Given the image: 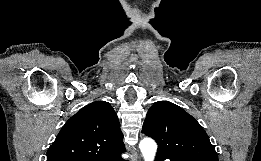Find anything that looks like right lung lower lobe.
<instances>
[{
    "instance_id": "right-lung-lower-lobe-1",
    "label": "right lung lower lobe",
    "mask_w": 261,
    "mask_h": 161,
    "mask_svg": "<svg viewBox=\"0 0 261 161\" xmlns=\"http://www.w3.org/2000/svg\"><path fill=\"white\" fill-rule=\"evenodd\" d=\"M123 152H125V151L108 154V155L102 156L100 158H97L95 160H87V161H125L121 158V154Z\"/></svg>"
}]
</instances>
